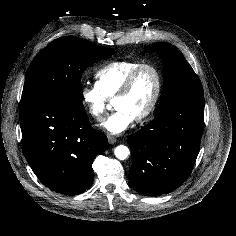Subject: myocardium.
I'll use <instances>...</instances> for the list:
<instances>
[{
	"label": "myocardium",
	"mask_w": 236,
	"mask_h": 236,
	"mask_svg": "<svg viewBox=\"0 0 236 236\" xmlns=\"http://www.w3.org/2000/svg\"><path fill=\"white\" fill-rule=\"evenodd\" d=\"M144 69H150L154 72L155 77H156V91L149 107L142 114L134 118L136 122H142L148 119L149 117H151L159 105V102L162 96V91H163V76L160 69L153 63L140 64L134 70H132L131 73L127 76L121 88L119 89L115 97L113 98V101H116L120 98L125 97L131 90L138 75Z\"/></svg>",
	"instance_id": "obj_1"
}]
</instances>
